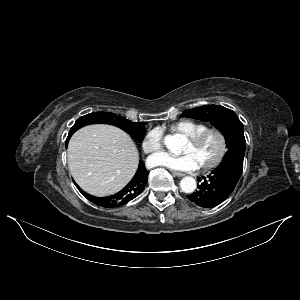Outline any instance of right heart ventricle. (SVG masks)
Wrapping results in <instances>:
<instances>
[{
    "label": "right heart ventricle",
    "mask_w": 300,
    "mask_h": 300,
    "mask_svg": "<svg viewBox=\"0 0 300 300\" xmlns=\"http://www.w3.org/2000/svg\"><path fill=\"white\" fill-rule=\"evenodd\" d=\"M207 125L203 122L190 120V119H182L175 122L171 128L173 131L180 133L186 137L192 136L201 129L205 128Z\"/></svg>",
    "instance_id": "right-heart-ventricle-1"
}]
</instances>
